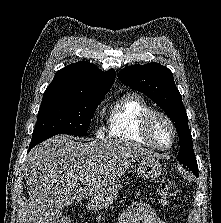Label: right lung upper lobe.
<instances>
[{
    "instance_id": "cb5924a9",
    "label": "right lung upper lobe",
    "mask_w": 221,
    "mask_h": 223,
    "mask_svg": "<svg viewBox=\"0 0 221 223\" xmlns=\"http://www.w3.org/2000/svg\"><path fill=\"white\" fill-rule=\"evenodd\" d=\"M115 77L113 69L102 72L96 65L85 61L71 64L57 71L44 92L42 102L104 98Z\"/></svg>"
}]
</instances>
